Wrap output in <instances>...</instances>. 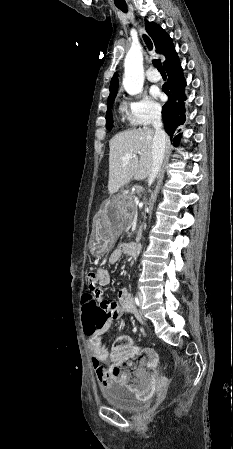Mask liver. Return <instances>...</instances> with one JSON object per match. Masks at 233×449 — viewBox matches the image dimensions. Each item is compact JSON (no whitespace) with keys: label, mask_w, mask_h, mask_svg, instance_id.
Instances as JSON below:
<instances>
[{"label":"liver","mask_w":233,"mask_h":449,"mask_svg":"<svg viewBox=\"0 0 233 449\" xmlns=\"http://www.w3.org/2000/svg\"><path fill=\"white\" fill-rule=\"evenodd\" d=\"M154 134L151 128L143 127L123 131L110 140L108 191L111 195L133 177L136 180H144L149 176L153 166ZM166 147H170L168 137ZM127 154H132L133 158L123 162V157Z\"/></svg>","instance_id":"obj_1"}]
</instances>
